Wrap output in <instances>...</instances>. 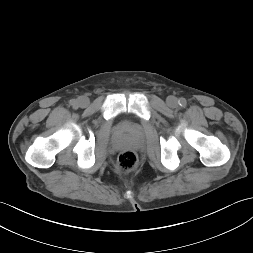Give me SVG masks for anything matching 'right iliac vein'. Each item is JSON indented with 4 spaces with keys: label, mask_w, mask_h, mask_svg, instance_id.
<instances>
[{
    "label": "right iliac vein",
    "mask_w": 253,
    "mask_h": 253,
    "mask_svg": "<svg viewBox=\"0 0 253 253\" xmlns=\"http://www.w3.org/2000/svg\"><path fill=\"white\" fill-rule=\"evenodd\" d=\"M77 103H78V105L80 106V107H86V106H88V104H89V99L87 98V97H85V96H82V97H80L79 99H78V101H77Z\"/></svg>",
    "instance_id": "right-iliac-vein-1"
}]
</instances>
